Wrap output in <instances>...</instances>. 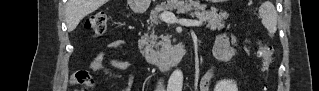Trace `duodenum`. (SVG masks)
<instances>
[{
  "label": "duodenum",
  "mask_w": 319,
  "mask_h": 91,
  "mask_svg": "<svg viewBox=\"0 0 319 91\" xmlns=\"http://www.w3.org/2000/svg\"><path fill=\"white\" fill-rule=\"evenodd\" d=\"M187 47L188 46L186 44L180 43L168 51L146 55V61L150 66L162 69L169 68L179 60Z\"/></svg>",
  "instance_id": "1"
}]
</instances>
